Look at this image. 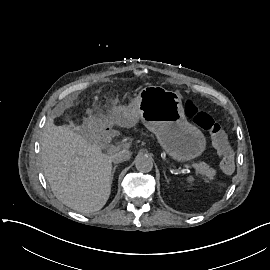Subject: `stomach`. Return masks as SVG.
<instances>
[{
  "instance_id": "stomach-1",
  "label": "stomach",
  "mask_w": 270,
  "mask_h": 270,
  "mask_svg": "<svg viewBox=\"0 0 270 270\" xmlns=\"http://www.w3.org/2000/svg\"><path fill=\"white\" fill-rule=\"evenodd\" d=\"M122 121L140 119L154 133L162 148L177 161L192 160L206 147L203 133L190 124L184 114L180 96L160 86L142 88L133 102L121 112Z\"/></svg>"
}]
</instances>
